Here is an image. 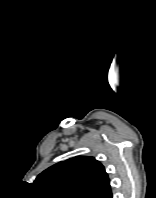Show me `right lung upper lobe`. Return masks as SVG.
<instances>
[{
	"instance_id": "1",
	"label": "right lung upper lobe",
	"mask_w": 156,
	"mask_h": 198,
	"mask_svg": "<svg viewBox=\"0 0 156 198\" xmlns=\"http://www.w3.org/2000/svg\"><path fill=\"white\" fill-rule=\"evenodd\" d=\"M34 185L50 198H112L103 165L93 157L77 156L43 171Z\"/></svg>"
}]
</instances>
